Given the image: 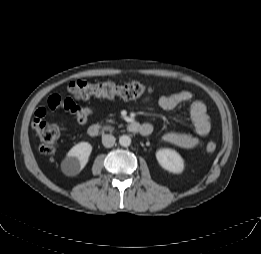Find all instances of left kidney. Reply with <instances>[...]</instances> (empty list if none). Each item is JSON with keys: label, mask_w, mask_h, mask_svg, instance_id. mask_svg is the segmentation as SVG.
<instances>
[{"label": "left kidney", "mask_w": 261, "mask_h": 254, "mask_svg": "<svg viewBox=\"0 0 261 254\" xmlns=\"http://www.w3.org/2000/svg\"><path fill=\"white\" fill-rule=\"evenodd\" d=\"M156 159L160 166L169 172L179 174L184 170V161L175 150L159 149Z\"/></svg>", "instance_id": "obj_1"}]
</instances>
